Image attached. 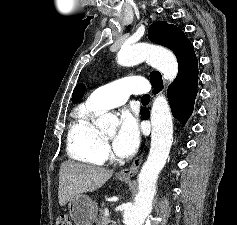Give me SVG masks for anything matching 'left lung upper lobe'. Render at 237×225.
Wrapping results in <instances>:
<instances>
[{"label":"left lung upper lobe","mask_w":237,"mask_h":225,"mask_svg":"<svg viewBox=\"0 0 237 225\" xmlns=\"http://www.w3.org/2000/svg\"><path fill=\"white\" fill-rule=\"evenodd\" d=\"M150 41L171 49L178 60V75L176 80L189 75L198 74L197 58L194 48L184 32L173 24L157 21L148 29ZM150 81L153 87L162 86L161 74L157 71L150 73Z\"/></svg>","instance_id":"left-lung-upper-lobe-1"}]
</instances>
